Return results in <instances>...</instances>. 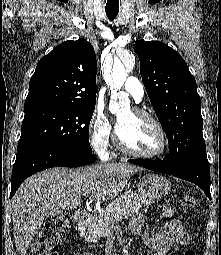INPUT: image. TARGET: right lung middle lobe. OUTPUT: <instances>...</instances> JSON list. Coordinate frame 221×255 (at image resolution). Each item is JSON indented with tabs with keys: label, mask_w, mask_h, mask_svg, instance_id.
Returning <instances> with one entry per match:
<instances>
[{
	"label": "right lung middle lobe",
	"mask_w": 221,
	"mask_h": 255,
	"mask_svg": "<svg viewBox=\"0 0 221 255\" xmlns=\"http://www.w3.org/2000/svg\"><path fill=\"white\" fill-rule=\"evenodd\" d=\"M95 104L25 111L19 142H36L92 153L88 132Z\"/></svg>",
	"instance_id": "right-lung-middle-lobe-1"
}]
</instances>
